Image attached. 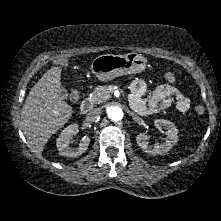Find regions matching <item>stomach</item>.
<instances>
[{
    "mask_svg": "<svg viewBox=\"0 0 221 221\" xmlns=\"http://www.w3.org/2000/svg\"><path fill=\"white\" fill-rule=\"evenodd\" d=\"M146 64V58L135 52L125 55L104 54L93 59L91 70L100 81H108L122 75L139 73L145 70Z\"/></svg>",
    "mask_w": 221,
    "mask_h": 221,
    "instance_id": "obj_1",
    "label": "stomach"
}]
</instances>
